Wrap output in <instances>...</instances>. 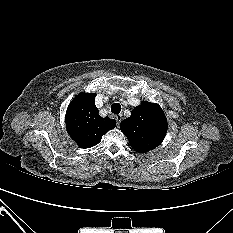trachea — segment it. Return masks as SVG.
I'll return each instance as SVG.
<instances>
[{
    "instance_id": "1",
    "label": "trachea",
    "mask_w": 233,
    "mask_h": 233,
    "mask_svg": "<svg viewBox=\"0 0 233 233\" xmlns=\"http://www.w3.org/2000/svg\"><path fill=\"white\" fill-rule=\"evenodd\" d=\"M121 111V105L119 103H114L112 106H111V112L114 113V114H119Z\"/></svg>"
}]
</instances>
